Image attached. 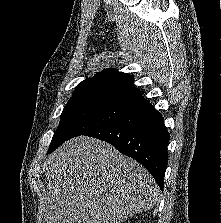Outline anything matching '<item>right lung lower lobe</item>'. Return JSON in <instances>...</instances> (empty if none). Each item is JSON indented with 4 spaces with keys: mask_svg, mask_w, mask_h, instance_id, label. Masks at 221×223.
<instances>
[{
    "mask_svg": "<svg viewBox=\"0 0 221 223\" xmlns=\"http://www.w3.org/2000/svg\"><path fill=\"white\" fill-rule=\"evenodd\" d=\"M83 135L106 141L122 154L137 160L163 189L170 136L163 117L150 103L138 106L123 117Z\"/></svg>",
    "mask_w": 221,
    "mask_h": 223,
    "instance_id": "98d812e1",
    "label": "right lung lower lobe"
}]
</instances>
